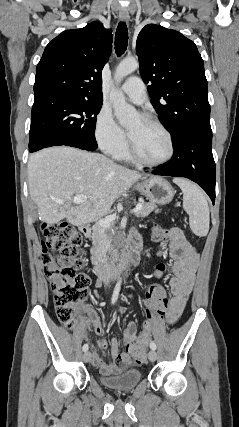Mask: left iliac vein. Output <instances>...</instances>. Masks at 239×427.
Masks as SVG:
<instances>
[{"label": "left iliac vein", "mask_w": 239, "mask_h": 427, "mask_svg": "<svg viewBox=\"0 0 239 427\" xmlns=\"http://www.w3.org/2000/svg\"><path fill=\"white\" fill-rule=\"evenodd\" d=\"M148 358L151 362H154L157 358V354L155 352V350H151L148 354Z\"/></svg>", "instance_id": "left-iliac-vein-1"}]
</instances>
